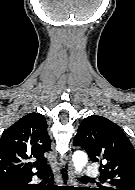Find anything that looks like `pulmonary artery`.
Returning a JSON list of instances; mask_svg holds the SVG:
<instances>
[{
  "label": "pulmonary artery",
  "instance_id": "obj_1",
  "mask_svg": "<svg viewBox=\"0 0 135 190\" xmlns=\"http://www.w3.org/2000/svg\"><path fill=\"white\" fill-rule=\"evenodd\" d=\"M99 174L98 172V169L96 166L94 165H88L86 168H85V171H84V175L88 178H94V177H97Z\"/></svg>",
  "mask_w": 135,
  "mask_h": 190
}]
</instances>
